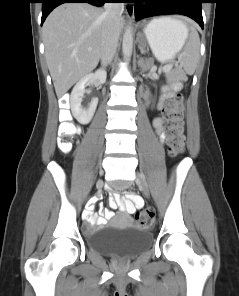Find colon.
<instances>
[{
  "mask_svg": "<svg viewBox=\"0 0 239 296\" xmlns=\"http://www.w3.org/2000/svg\"><path fill=\"white\" fill-rule=\"evenodd\" d=\"M183 101V94L178 93L164 111L166 119V136L171 156H177L180 154L184 146ZM59 118L58 147L62 152L68 153L72 148L73 141L79 131V128L72 122L71 115L66 108L60 110ZM153 216V210L148 207H141L135 213V219L140 224H147Z\"/></svg>",
  "mask_w": 239,
  "mask_h": 296,
  "instance_id": "obj_1",
  "label": "colon"
}]
</instances>
